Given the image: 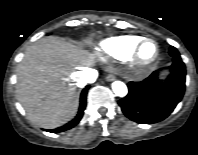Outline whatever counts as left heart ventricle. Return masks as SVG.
I'll return each mask as SVG.
<instances>
[{
	"label": "left heart ventricle",
	"mask_w": 198,
	"mask_h": 155,
	"mask_svg": "<svg viewBox=\"0 0 198 155\" xmlns=\"http://www.w3.org/2000/svg\"><path fill=\"white\" fill-rule=\"evenodd\" d=\"M154 53V46L152 44H145L142 49V54L146 58H150Z\"/></svg>",
	"instance_id": "1"
}]
</instances>
